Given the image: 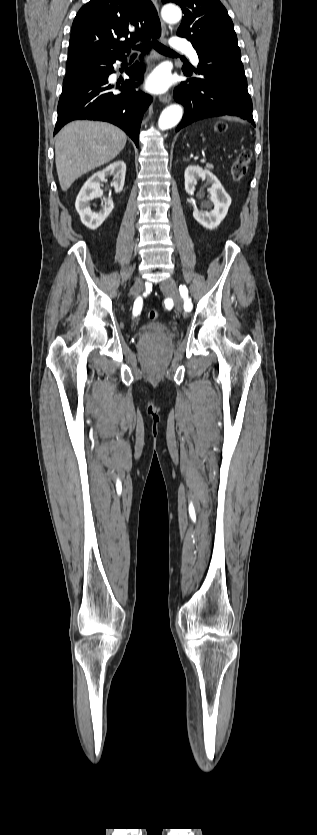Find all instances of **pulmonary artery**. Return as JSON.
<instances>
[{"label": "pulmonary artery", "mask_w": 317, "mask_h": 835, "mask_svg": "<svg viewBox=\"0 0 317 835\" xmlns=\"http://www.w3.org/2000/svg\"><path fill=\"white\" fill-rule=\"evenodd\" d=\"M171 46L176 50L186 53L193 64L199 63L197 51L190 42L183 39H174Z\"/></svg>", "instance_id": "obj_1"}]
</instances>
